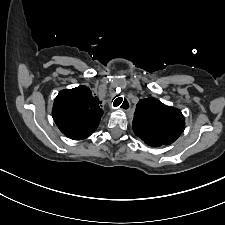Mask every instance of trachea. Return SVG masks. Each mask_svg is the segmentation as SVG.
<instances>
[{"mask_svg": "<svg viewBox=\"0 0 225 225\" xmlns=\"http://www.w3.org/2000/svg\"><path fill=\"white\" fill-rule=\"evenodd\" d=\"M122 97L117 98L115 101V106H119L122 103ZM123 107H128V103L126 102V100H124L123 102Z\"/></svg>", "mask_w": 225, "mask_h": 225, "instance_id": "trachea-1", "label": "trachea"}]
</instances>
